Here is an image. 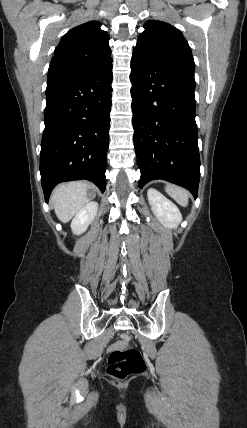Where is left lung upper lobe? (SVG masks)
Wrapping results in <instances>:
<instances>
[{"instance_id":"1","label":"left lung upper lobe","mask_w":247,"mask_h":428,"mask_svg":"<svg viewBox=\"0 0 247 428\" xmlns=\"http://www.w3.org/2000/svg\"><path fill=\"white\" fill-rule=\"evenodd\" d=\"M144 28L133 53L150 56L165 66L194 77L191 49L177 28L157 20L147 21Z\"/></svg>"}]
</instances>
